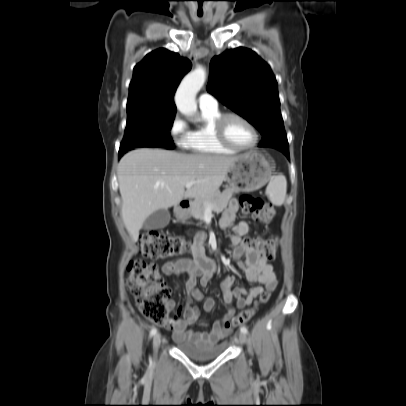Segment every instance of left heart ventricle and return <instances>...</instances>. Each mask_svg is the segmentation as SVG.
Masks as SVG:
<instances>
[{"label":"left heart ventricle","mask_w":406,"mask_h":406,"mask_svg":"<svg viewBox=\"0 0 406 406\" xmlns=\"http://www.w3.org/2000/svg\"><path fill=\"white\" fill-rule=\"evenodd\" d=\"M225 131L228 140L238 147L250 146L254 141L251 129L236 118H230L227 121Z\"/></svg>","instance_id":"b2bd125f"}]
</instances>
